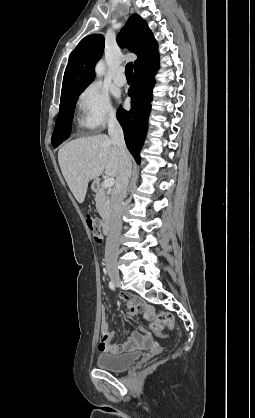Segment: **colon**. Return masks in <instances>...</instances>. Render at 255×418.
I'll list each match as a JSON object with an SVG mask.
<instances>
[{
    "label": "colon",
    "instance_id": "colon-1",
    "mask_svg": "<svg viewBox=\"0 0 255 418\" xmlns=\"http://www.w3.org/2000/svg\"><path fill=\"white\" fill-rule=\"evenodd\" d=\"M86 223L93 235L94 240L98 243L102 242L103 235L99 221L91 214H87ZM150 320V327L152 331L157 335H162V331L165 327L169 329L174 327V318L173 315L169 312H161L154 315L151 314Z\"/></svg>",
    "mask_w": 255,
    "mask_h": 418
}]
</instances>
